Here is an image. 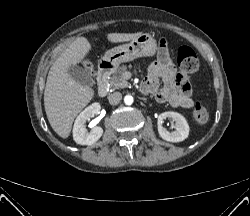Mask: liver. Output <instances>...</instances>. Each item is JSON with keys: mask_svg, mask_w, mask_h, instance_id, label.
Wrapping results in <instances>:
<instances>
[{"mask_svg": "<svg viewBox=\"0 0 250 216\" xmlns=\"http://www.w3.org/2000/svg\"><path fill=\"white\" fill-rule=\"evenodd\" d=\"M141 34L110 33L106 38L111 43L127 42ZM90 50L91 44L85 37L76 38L48 73L44 91L45 111L51 127L62 138L69 136L75 117L94 96L93 89L77 83L69 73V68L82 62Z\"/></svg>", "mask_w": 250, "mask_h": 216, "instance_id": "obj_1", "label": "liver"}]
</instances>
